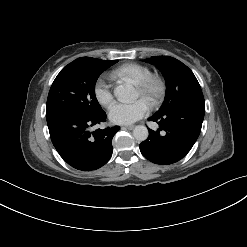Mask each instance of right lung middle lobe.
Here are the masks:
<instances>
[{"mask_svg":"<svg viewBox=\"0 0 247 247\" xmlns=\"http://www.w3.org/2000/svg\"><path fill=\"white\" fill-rule=\"evenodd\" d=\"M82 57L65 66L55 78L47 98L46 119L61 115L96 116L103 111L95 96L100 74L117 63Z\"/></svg>","mask_w":247,"mask_h":247,"instance_id":"obj_1","label":"right lung middle lobe"}]
</instances>
